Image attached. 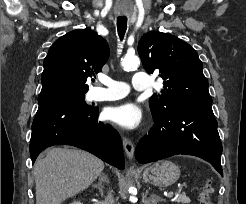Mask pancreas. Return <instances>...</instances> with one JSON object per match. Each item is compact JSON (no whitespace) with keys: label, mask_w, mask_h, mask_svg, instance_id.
<instances>
[{"label":"pancreas","mask_w":246,"mask_h":204,"mask_svg":"<svg viewBox=\"0 0 246 204\" xmlns=\"http://www.w3.org/2000/svg\"><path fill=\"white\" fill-rule=\"evenodd\" d=\"M175 202L189 204L191 200L184 193H182L178 195V197L175 199Z\"/></svg>","instance_id":"pancreas-1"}]
</instances>
